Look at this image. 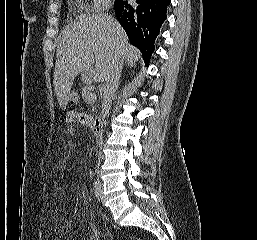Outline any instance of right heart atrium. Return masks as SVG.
Returning a JSON list of instances; mask_svg holds the SVG:
<instances>
[{
  "instance_id": "d8ad5b80",
  "label": "right heart atrium",
  "mask_w": 257,
  "mask_h": 240,
  "mask_svg": "<svg viewBox=\"0 0 257 240\" xmlns=\"http://www.w3.org/2000/svg\"><path fill=\"white\" fill-rule=\"evenodd\" d=\"M111 0H93L92 10L95 12H100L109 7Z\"/></svg>"
}]
</instances>
